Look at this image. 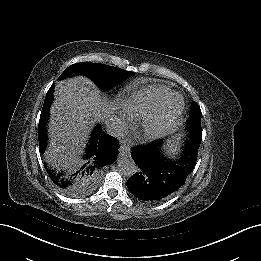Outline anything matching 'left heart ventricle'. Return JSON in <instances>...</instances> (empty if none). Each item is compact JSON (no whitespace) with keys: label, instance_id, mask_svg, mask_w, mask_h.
<instances>
[{"label":"left heart ventricle","instance_id":"obj_1","mask_svg":"<svg viewBox=\"0 0 261 261\" xmlns=\"http://www.w3.org/2000/svg\"><path fill=\"white\" fill-rule=\"evenodd\" d=\"M179 106H180V101L178 98L171 99L164 107L161 116V123L172 118L177 113Z\"/></svg>","mask_w":261,"mask_h":261}]
</instances>
